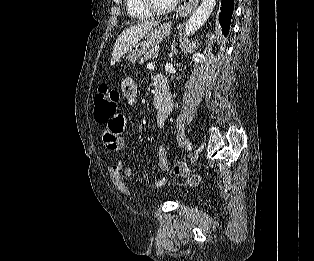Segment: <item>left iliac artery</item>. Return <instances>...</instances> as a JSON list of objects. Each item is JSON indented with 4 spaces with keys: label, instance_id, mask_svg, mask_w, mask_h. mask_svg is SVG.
I'll return each mask as SVG.
<instances>
[{
    "label": "left iliac artery",
    "instance_id": "obj_1",
    "mask_svg": "<svg viewBox=\"0 0 314 261\" xmlns=\"http://www.w3.org/2000/svg\"><path fill=\"white\" fill-rule=\"evenodd\" d=\"M187 149H188L189 151L192 150V143L189 142V141H187Z\"/></svg>",
    "mask_w": 314,
    "mask_h": 261
}]
</instances>
